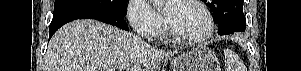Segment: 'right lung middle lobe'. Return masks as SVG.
Instances as JSON below:
<instances>
[{"label": "right lung middle lobe", "mask_w": 301, "mask_h": 71, "mask_svg": "<svg viewBox=\"0 0 301 71\" xmlns=\"http://www.w3.org/2000/svg\"><path fill=\"white\" fill-rule=\"evenodd\" d=\"M127 2L128 0H55L54 13L76 7H93L124 17Z\"/></svg>", "instance_id": "right-lung-middle-lobe-1"}]
</instances>
